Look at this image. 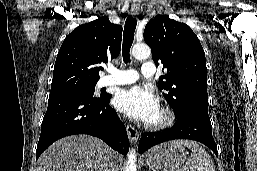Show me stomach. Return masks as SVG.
Returning a JSON list of instances; mask_svg holds the SVG:
<instances>
[{
	"label": "stomach",
	"mask_w": 257,
	"mask_h": 171,
	"mask_svg": "<svg viewBox=\"0 0 257 171\" xmlns=\"http://www.w3.org/2000/svg\"><path fill=\"white\" fill-rule=\"evenodd\" d=\"M187 153L183 147L164 143L146 154V163L152 171H181Z\"/></svg>",
	"instance_id": "0dacf381"
}]
</instances>
